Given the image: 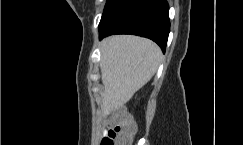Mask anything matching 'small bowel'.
<instances>
[{"mask_svg":"<svg viewBox=\"0 0 243 145\" xmlns=\"http://www.w3.org/2000/svg\"><path fill=\"white\" fill-rule=\"evenodd\" d=\"M107 133H108V130H105V131H104V136H106V135H107Z\"/></svg>","mask_w":243,"mask_h":145,"instance_id":"small-bowel-1","label":"small bowel"}]
</instances>
